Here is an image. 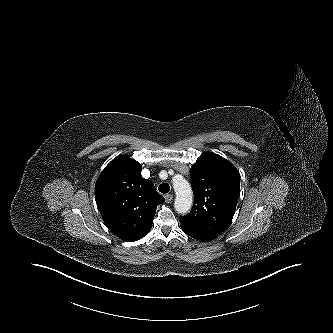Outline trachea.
Returning <instances> with one entry per match:
<instances>
[{"label":"trachea","mask_w":333,"mask_h":333,"mask_svg":"<svg viewBox=\"0 0 333 333\" xmlns=\"http://www.w3.org/2000/svg\"><path fill=\"white\" fill-rule=\"evenodd\" d=\"M158 190L161 193H168L170 191V186L167 183H162L161 185H159Z\"/></svg>","instance_id":"1"}]
</instances>
